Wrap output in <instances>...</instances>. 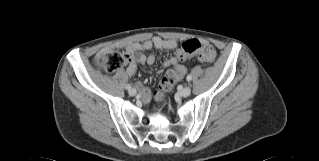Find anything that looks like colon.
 Listing matches in <instances>:
<instances>
[{
	"label": "colon",
	"mask_w": 319,
	"mask_h": 161,
	"mask_svg": "<svg viewBox=\"0 0 319 161\" xmlns=\"http://www.w3.org/2000/svg\"><path fill=\"white\" fill-rule=\"evenodd\" d=\"M196 53L203 61L214 62L217 60L218 56L216 51L211 47H201V43L197 39H188L181 43L180 52L177 54V60L182 62L187 57H191ZM128 62L127 55L122 51L112 50L99 55L95 59V64L101 70L113 73L121 70ZM181 72L180 68L169 70L163 77L160 83V91L162 93L172 90L179 82V74Z\"/></svg>",
	"instance_id": "obj_1"
}]
</instances>
